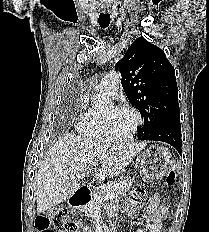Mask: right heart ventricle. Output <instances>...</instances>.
Here are the masks:
<instances>
[{
  "label": "right heart ventricle",
  "mask_w": 209,
  "mask_h": 232,
  "mask_svg": "<svg viewBox=\"0 0 209 232\" xmlns=\"http://www.w3.org/2000/svg\"><path fill=\"white\" fill-rule=\"evenodd\" d=\"M78 133L88 140L105 141L106 137L102 128V114L96 110H88L79 119Z\"/></svg>",
  "instance_id": "right-heart-ventricle-1"
}]
</instances>
